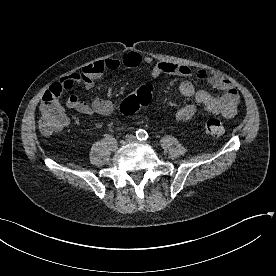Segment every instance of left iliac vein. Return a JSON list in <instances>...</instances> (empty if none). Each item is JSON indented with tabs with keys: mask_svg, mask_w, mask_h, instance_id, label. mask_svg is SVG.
<instances>
[{
	"mask_svg": "<svg viewBox=\"0 0 276 276\" xmlns=\"http://www.w3.org/2000/svg\"><path fill=\"white\" fill-rule=\"evenodd\" d=\"M127 143H140V141L133 135L126 136Z\"/></svg>",
	"mask_w": 276,
	"mask_h": 276,
	"instance_id": "1",
	"label": "left iliac vein"
}]
</instances>
